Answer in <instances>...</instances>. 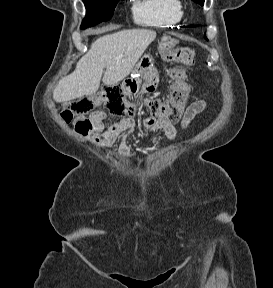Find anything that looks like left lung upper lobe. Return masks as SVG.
Returning <instances> with one entry per match:
<instances>
[{"instance_id":"5c2ea615","label":"left lung upper lobe","mask_w":273,"mask_h":288,"mask_svg":"<svg viewBox=\"0 0 273 288\" xmlns=\"http://www.w3.org/2000/svg\"><path fill=\"white\" fill-rule=\"evenodd\" d=\"M196 3L200 4L201 6H203L204 4V0H194ZM207 40V38H206Z\"/></svg>"}]
</instances>
